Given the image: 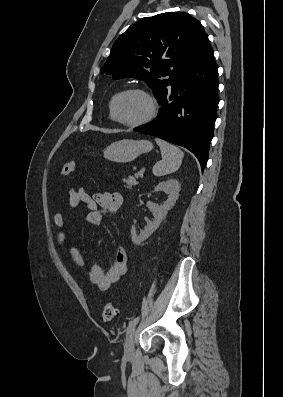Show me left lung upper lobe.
<instances>
[{
  "label": "left lung upper lobe",
  "instance_id": "1",
  "mask_svg": "<svg viewBox=\"0 0 283 397\" xmlns=\"http://www.w3.org/2000/svg\"><path fill=\"white\" fill-rule=\"evenodd\" d=\"M210 47L201 23L188 13L145 17L117 38L101 73L142 79L160 100L180 72Z\"/></svg>",
  "mask_w": 283,
  "mask_h": 397
}]
</instances>
